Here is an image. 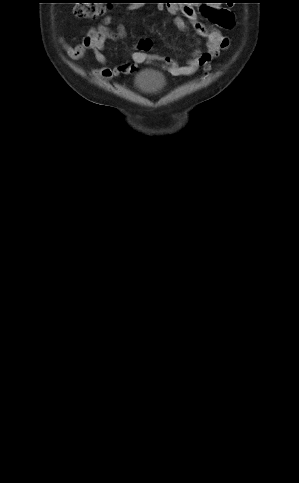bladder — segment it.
<instances>
[{
    "label": "bladder",
    "instance_id": "obj_1",
    "mask_svg": "<svg viewBox=\"0 0 299 483\" xmlns=\"http://www.w3.org/2000/svg\"><path fill=\"white\" fill-rule=\"evenodd\" d=\"M137 87L145 92L153 91L164 85L163 79L155 72H144L138 75Z\"/></svg>",
    "mask_w": 299,
    "mask_h": 483
}]
</instances>
